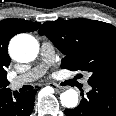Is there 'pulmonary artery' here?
I'll list each match as a JSON object with an SVG mask.
<instances>
[{
	"label": "pulmonary artery",
	"mask_w": 116,
	"mask_h": 116,
	"mask_svg": "<svg viewBox=\"0 0 116 116\" xmlns=\"http://www.w3.org/2000/svg\"><path fill=\"white\" fill-rule=\"evenodd\" d=\"M41 55H42V63L28 72L19 75L15 78H13L10 81V88L12 90H16L32 81H35L36 79L40 78L42 75L45 74L48 67L51 65L53 58H54V47L52 43L48 40H44L41 43ZM88 78H85V84H87ZM86 91L90 90V86L86 85Z\"/></svg>",
	"instance_id": "1"
}]
</instances>
